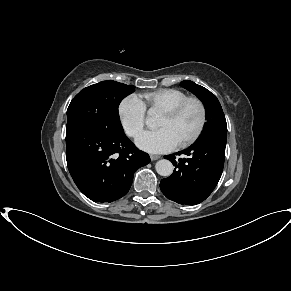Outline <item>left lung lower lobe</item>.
Segmentation results:
<instances>
[{
  "instance_id": "obj_1",
  "label": "left lung lower lobe",
  "mask_w": 291,
  "mask_h": 291,
  "mask_svg": "<svg viewBox=\"0 0 291 291\" xmlns=\"http://www.w3.org/2000/svg\"><path fill=\"white\" fill-rule=\"evenodd\" d=\"M226 138L207 137L188 149L165 156L175 166L173 174L160 182L162 193L179 204L196 205L214 190L221 177ZM187 155L179 158L176 155Z\"/></svg>"
}]
</instances>
